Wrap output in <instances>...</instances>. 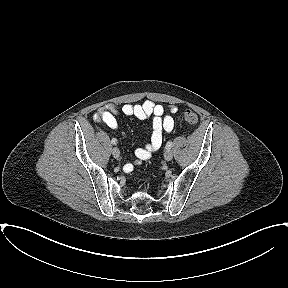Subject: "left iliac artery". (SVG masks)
Segmentation results:
<instances>
[{"label":"left iliac artery","instance_id":"obj_1","mask_svg":"<svg viewBox=\"0 0 288 288\" xmlns=\"http://www.w3.org/2000/svg\"><path fill=\"white\" fill-rule=\"evenodd\" d=\"M172 147V141H168L166 144V149L169 150Z\"/></svg>","mask_w":288,"mask_h":288}]
</instances>
